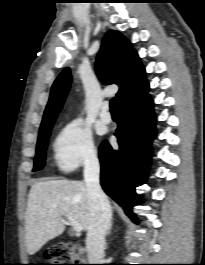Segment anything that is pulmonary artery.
<instances>
[{
  "label": "pulmonary artery",
  "mask_w": 205,
  "mask_h": 265,
  "mask_svg": "<svg viewBox=\"0 0 205 265\" xmlns=\"http://www.w3.org/2000/svg\"><path fill=\"white\" fill-rule=\"evenodd\" d=\"M100 118L104 123H110L112 120L111 113L109 112V103H103L100 112Z\"/></svg>",
  "instance_id": "obj_1"
}]
</instances>
